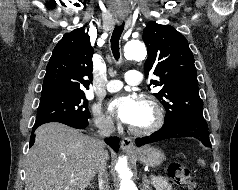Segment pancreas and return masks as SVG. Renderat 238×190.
<instances>
[{
  "label": "pancreas",
  "mask_w": 238,
  "mask_h": 190,
  "mask_svg": "<svg viewBox=\"0 0 238 190\" xmlns=\"http://www.w3.org/2000/svg\"><path fill=\"white\" fill-rule=\"evenodd\" d=\"M152 185L155 190H172L171 184L168 183V180L164 177H155L152 180Z\"/></svg>",
  "instance_id": "pancreas-1"
}]
</instances>
